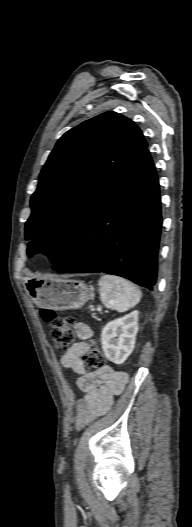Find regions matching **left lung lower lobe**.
Wrapping results in <instances>:
<instances>
[{"label":"left lung lower lobe","mask_w":192,"mask_h":527,"mask_svg":"<svg viewBox=\"0 0 192 527\" xmlns=\"http://www.w3.org/2000/svg\"><path fill=\"white\" fill-rule=\"evenodd\" d=\"M161 224L159 183L146 148L108 190L53 269L105 272L152 290Z\"/></svg>","instance_id":"left-lung-lower-lobe-1"}]
</instances>
